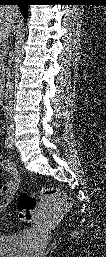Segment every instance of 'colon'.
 Returning <instances> with one entry per match:
<instances>
[{
  "mask_svg": "<svg viewBox=\"0 0 106 257\" xmlns=\"http://www.w3.org/2000/svg\"><path fill=\"white\" fill-rule=\"evenodd\" d=\"M37 198L41 199L39 203ZM54 202L62 210L71 208L73 201L63 191L57 188L42 187L36 192H21L17 198V208L19 218L24 222H31L35 217L38 208H45L48 204Z\"/></svg>",
  "mask_w": 106,
  "mask_h": 257,
  "instance_id": "1",
  "label": "colon"
}]
</instances>
